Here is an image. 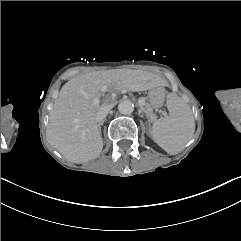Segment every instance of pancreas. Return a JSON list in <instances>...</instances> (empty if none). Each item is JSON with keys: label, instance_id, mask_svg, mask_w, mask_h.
Wrapping results in <instances>:
<instances>
[{"label": "pancreas", "instance_id": "cf45deb5", "mask_svg": "<svg viewBox=\"0 0 241 241\" xmlns=\"http://www.w3.org/2000/svg\"><path fill=\"white\" fill-rule=\"evenodd\" d=\"M142 110L150 117L151 120L156 118V116L153 114L152 108L148 104L144 106Z\"/></svg>", "mask_w": 241, "mask_h": 241}]
</instances>
